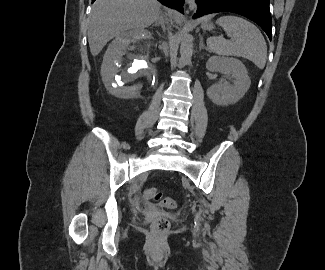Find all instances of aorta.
Returning a JSON list of instances; mask_svg holds the SVG:
<instances>
[{
	"mask_svg": "<svg viewBox=\"0 0 325 270\" xmlns=\"http://www.w3.org/2000/svg\"><path fill=\"white\" fill-rule=\"evenodd\" d=\"M193 54V44L190 36L188 34H185L181 41L180 46V59H179V67L182 68L186 64H188L191 61V57Z\"/></svg>",
	"mask_w": 325,
	"mask_h": 270,
	"instance_id": "obj_1",
	"label": "aorta"
}]
</instances>
